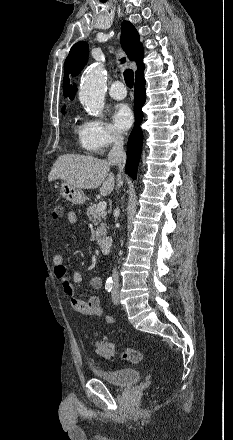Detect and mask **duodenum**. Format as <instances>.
I'll return each mask as SVG.
<instances>
[{"mask_svg":"<svg viewBox=\"0 0 233 440\" xmlns=\"http://www.w3.org/2000/svg\"><path fill=\"white\" fill-rule=\"evenodd\" d=\"M112 240L109 237H105L99 240V247L102 252H108L110 250Z\"/></svg>","mask_w":233,"mask_h":440,"instance_id":"1","label":"duodenum"}]
</instances>
